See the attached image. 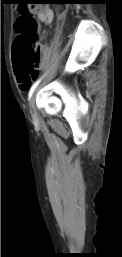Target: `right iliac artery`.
<instances>
[{"label":"right iliac artery","mask_w":122,"mask_h":257,"mask_svg":"<svg viewBox=\"0 0 122 257\" xmlns=\"http://www.w3.org/2000/svg\"><path fill=\"white\" fill-rule=\"evenodd\" d=\"M40 81H41V78L38 79V80L32 85V87H31V89H30V91H29V97L32 96V94H33L35 88L38 86V84L40 83Z\"/></svg>","instance_id":"right-iliac-artery-1"}]
</instances>
